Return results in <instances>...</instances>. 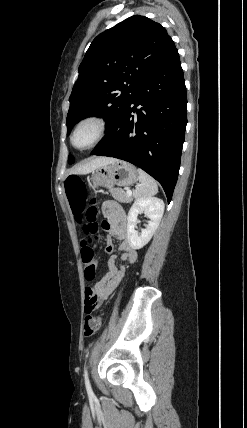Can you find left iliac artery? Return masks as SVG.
I'll use <instances>...</instances> for the list:
<instances>
[{
    "label": "left iliac artery",
    "instance_id": "1",
    "mask_svg": "<svg viewBox=\"0 0 247 428\" xmlns=\"http://www.w3.org/2000/svg\"><path fill=\"white\" fill-rule=\"evenodd\" d=\"M84 377H85L86 390H87L88 394H92V389H91V385H90L89 378H88L87 368H85Z\"/></svg>",
    "mask_w": 247,
    "mask_h": 428
}]
</instances>
